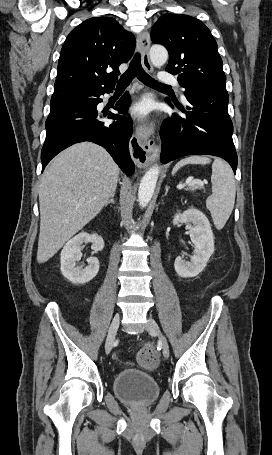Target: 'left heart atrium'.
Masks as SVG:
<instances>
[{
    "label": "left heart atrium",
    "mask_w": 272,
    "mask_h": 455,
    "mask_svg": "<svg viewBox=\"0 0 272 455\" xmlns=\"http://www.w3.org/2000/svg\"><path fill=\"white\" fill-rule=\"evenodd\" d=\"M149 111L150 104L147 101H142L134 106L132 113L136 116L142 117L148 114Z\"/></svg>",
    "instance_id": "1"
}]
</instances>
